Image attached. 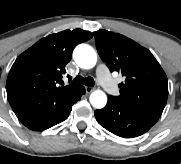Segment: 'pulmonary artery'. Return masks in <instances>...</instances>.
<instances>
[{
    "instance_id": "1",
    "label": "pulmonary artery",
    "mask_w": 181,
    "mask_h": 164,
    "mask_svg": "<svg viewBox=\"0 0 181 164\" xmlns=\"http://www.w3.org/2000/svg\"><path fill=\"white\" fill-rule=\"evenodd\" d=\"M97 75H98L99 82L101 83L103 88L107 91H111V83L105 73V69H99Z\"/></svg>"
}]
</instances>
